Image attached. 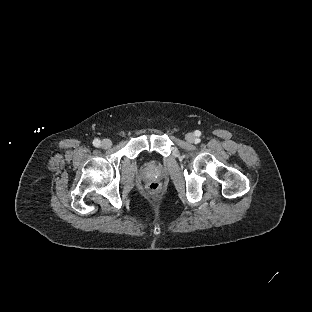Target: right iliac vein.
<instances>
[{
  "label": "right iliac vein",
  "instance_id": "63e3f726",
  "mask_svg": "<svg viewBox=\"0 0 312 312\" xmlns=\"http://www.w3.org/2000/svg\"><path fill=\"white\" fill-rule=\"evenodd\" d=\"M112 143L109 139H104L102 140L101 142V147L104 148V149H107L109 147H111Z\"/></svg>",
  "mask_w": 312,
  "mask_h": 312
}]
</instances>
